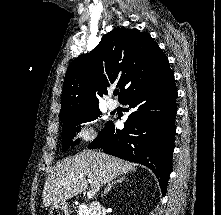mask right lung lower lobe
I'll use <instances>...</instances> for the list:
<instances>
[{
	"label": "right lung lower lobe",
	"mask_w": 221,
	"mask_h": 215,
	"mask_svg": "<svg viewBox=\"0 0 221 215\" xmlns=\"http://www.w3.org/2000/svg\"><path fill=\"white\" fill-rule=\"evenodd\" d=\"M176 98L174 74L169 69L121 101L132 108L123 130L108 122L89 148L101 147L108 154L149 167L164 195L174 150Z\"/></svg>",
	"instance_id": "right-lung-lower-lobe-1"
}]
</instances>
